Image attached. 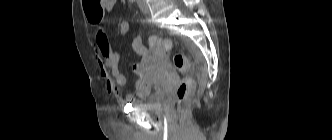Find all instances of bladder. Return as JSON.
I'll return each instance as SVG.
<instances>
[{
    "instance_id": "1",
    "label": "bladder",
    "mask_w": 332,
    "mask_h": 140,
    "mask_svg": "<svg viewBox=\"0 0 332 140\" xmlns=\"http://www.w3.org/2000/svg\"><path fill=\"white\" fill-rule=\"evenodd\" d=\"M164 97L161 93L151 91L142 99H136L131 104L141 110L158 111L163 105Z\"/></svg>"
}]
</instances>
